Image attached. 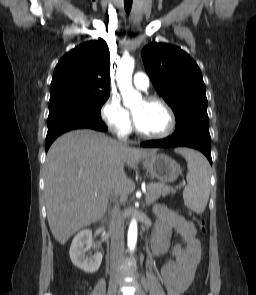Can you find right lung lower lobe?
I'll list each match as a JSON object with an SVG mask.
<instances>
[{
  "label": "right lung lower lobe",
  "mask_w": 256,
  "mask_h": 295,
  "mask_svg": "<svg viewBox=\"0 0 256 295\" xmlns=\"http://www.w3.org/2000/svg\"><path fill=\"white\" fill-rule=\"evenodd\" d=\"M48 132L46 136V152L52 142L61 134L81 128H89L98 131H106L107 127L101 120V117L94 118H56L47 122Z\"/></svg>",
  "instance_id": "98d812e1"
}]
</instances>
